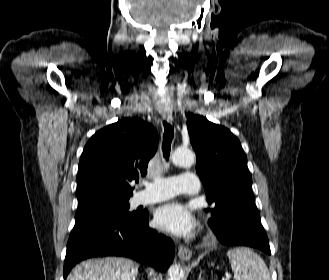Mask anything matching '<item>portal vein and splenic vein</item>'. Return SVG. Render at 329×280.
<instances>
[{"mask_svg": "<svg viewBox=\"0 0 329 280\" xmlns=\"http://www.w3.org/2000/svg\"><path fill=\"white\" fill-rule=\"evenodd\" d=\"M230 279V275H226V278H224L223 280H229Z\"/></svg>", "mask_w": 329, "mask_h": 280, "instance_id": "obj_1", "label": "portal vein and splenic vein"}]
</instances>
